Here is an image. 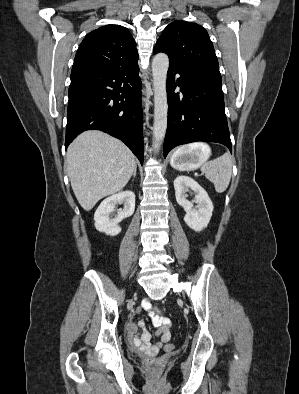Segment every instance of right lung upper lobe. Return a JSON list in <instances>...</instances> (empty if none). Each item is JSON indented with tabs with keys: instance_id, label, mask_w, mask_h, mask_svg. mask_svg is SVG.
Segmentation results:
<instances>
[{
	"instance_id": "1",
	"label": "right lung upper lobe",
	"mask_w": 299,
	"mask_h": 394,
	"mask_svg": "<svg viewBox=\"0 0 299 394\" xmlns=\"http://www.w3.org/2000/svg\"><path fill=\"white\" fill-rule=\"evenodd\" d=\"M136 43L127 28L106 25L91 31L80 44L71 78L137 64Z\"/></svg>"
}]
</instances>
